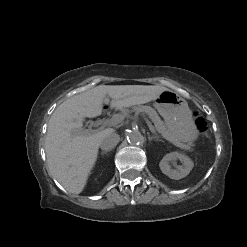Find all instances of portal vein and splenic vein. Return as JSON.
Returning <instances> with one entry per match:
<instances>
[{
    "mask_svg": "<svg viewBox=\"0 0 247 247\" xmlns=\"http://www.w3.org/2000/svg\"><path fill=\"white\" fill-rule=\"evenodd\" d=\"M123 119L124 118L122 116L115 115L108 123L109 124H117V123H120ZM144 119H145L150 131L152 133H155V129H154V126L152 125V123L147 118L144 117Z\"/></svg>",
    "mask_w": 247,
    "mask_h": 247,
    "instance_id": "1",
    "label": "portal vein and splenic vein"
}]
</instances>
